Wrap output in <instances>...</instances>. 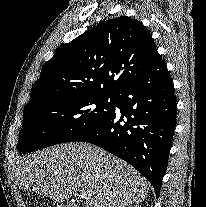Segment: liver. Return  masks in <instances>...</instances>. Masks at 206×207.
Masks as SVG:
<instances>
[{
	"instance_id": "liver-1",
	"label": "liver",
	"mask_w": 206,
	"mask_h": 207,
	"mask_svg": "<svg viewBox=\"0 0 206 207\" xmlns=\"http://www.w3.org/2000/svg\"><path fill=\"white\" fill-rule=\"evenodd\" d=\"M15 173L21 189L57 202L83 191L85 207H126L145 200L149 192L147 180L127 162L81 142L23 157Z\"/></svg>"
}]
</instances>
